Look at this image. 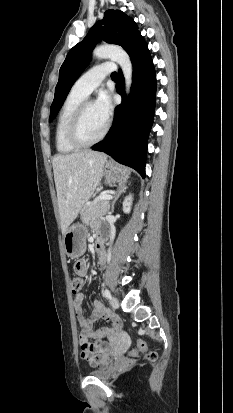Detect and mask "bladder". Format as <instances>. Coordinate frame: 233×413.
I'll list each match as a JSON object with an SVG mask.
<instances>
[{
	"label": "bladder",
	"mask_w": 233,
	"mask_h": 413,
	"mask_svg": "<svg viewBox=\"0 0 233 413\" xmlns=\"http://www.w3.org/2000/svg\"><path fill=\"white\" fill-rule=\"evenodd\" d=\"M114 372V366L112 364H107L104 367H100L98 369L91 371L89 375L99 379H109L113 376Z\"/></svg>",
	"instance_id": "1"
}]
</instances>
